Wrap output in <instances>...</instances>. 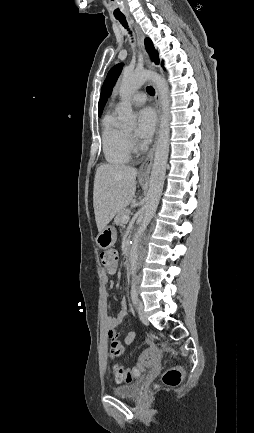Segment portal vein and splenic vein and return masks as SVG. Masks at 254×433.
Masks as SVG:
<instances>
[{"instance_id":"obj_1","label":"portal vein and splenic vein","mask_w":254,"mask_h":433,"mask_svg":"<svg viewBox=\"0 0 254 433\" xmlns=\"http://www.w3.org/2000/svg\"><path fill=\"white\" fill-rule=\"evenodd\" d=\"M130 217L129 216H124L123 217V222L127 223L129 221Z\"/></svg>"}]
</instances>
